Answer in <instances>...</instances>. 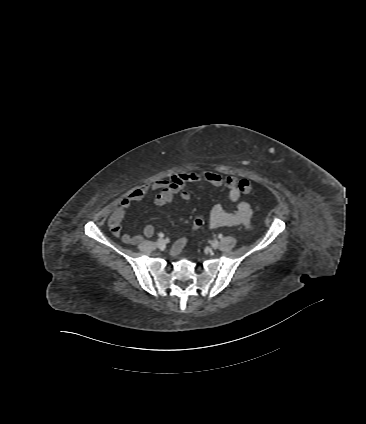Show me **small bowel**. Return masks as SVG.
<instances>
[{
  "mask_svg": "<svg viewBox=\"0 0 366 424\" xmlns=\"http://www.w3.org/2000/svg\"><path fill=\"white\" fill-rule=\"evenodd\" d=\"M206 182L214 187L225 188L228 191V198L236 204L234 211H227L220 204H215L210 210L208 225L210 228H225L237 225L249 227L253 210L246 201H240L242 191L239 188V180L233 175L221 176L212 172H192L179 173L170 179L158 180L131 190L120 202L118 207L111 214L108 225L111 233L121 239L122 242L136 245L143 241L145 237H152L155 233L153 225L144 227L142 234L122 233V221L127 209L134 203L140 202L149 193H156L154 204L163 207L170 204L175 196L188 202L191 200V193L187 185L191 183ZM186 244V238H179L172 247V254L178 255Z\"/></svg>",
  "mask_w": 366,
  "mask_h": 424,
  "instance_id": "small-bowel-1",
  "label": "small bowel"
}]
</instances>
